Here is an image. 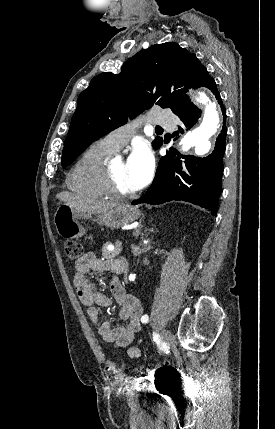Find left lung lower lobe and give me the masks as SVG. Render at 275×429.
<instances>
[{
    "mask_svg": "<svg viewBox=\"0 0 275 429\" xmlns=\"http://www.w3.org/2000/svg\"><path fill=\"white\" fill-rule=\"evenodd\" d=\"M207 87L212 90L221 105L224 116L223 129L218 136L215 148L207 157L181 155L171 149L161 157L152 185L133 205L139 203L162 204L172 200H183L209 209L213 216L218 211L221 179L223 174V156L226 148L227 128L226 112L217 90L215 80L204 67L199 73L196 88ZM175 114L181 120L178 132L189 130L197 122L201 111L190 101L180 107Z\"/></svg>",
    "mask_w": 275,
    "mask_h": 429,
    "instance_id": "0a47b994",
    "label": "left lung lower lobe"
}]
</instances>
